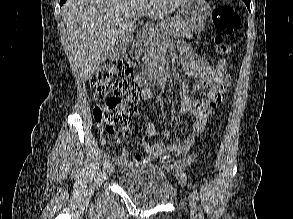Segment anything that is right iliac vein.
Here are the masks:
<instances>
[{
    "mask_svg": "<svg viewBox=\"0 0 293 219\" xmlns=\"http://www.w3.org/2000/svg\"><path fill=\"white\" fill-rule=\"evenodd\" d=\"M114 170V165L113 163H109L107 166H106V175L107 176H110L111 173L113 172Z\"/></svg>",
    "mask_w": 293,
    "mask_h": 219,
    "instance_id": "obj_1",
    "label": "right iliac vein"
}]
</instances>
